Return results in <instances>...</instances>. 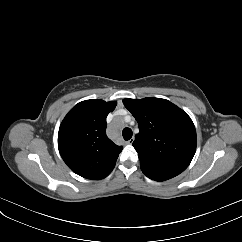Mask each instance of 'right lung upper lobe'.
<instances>
[{
  "label": "right lung upper lobe",
  "mask_w": 242,
  "mask_h": 242,
  "mask_svg": "<svg viewBox=\"0 0 242 242\" xmlns=\"http://www.w3.org/2000/svg\"><path fill=\"white\" fill-rule=\"evenodd\" d=\"M115 107V101H82L62 121L58 133L59 152L76 174L99 180L113 170L123 149L106 135V117Z\"/></svg>",
  "instance_id": "obj_1"
}]
</instances>
